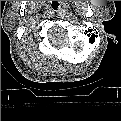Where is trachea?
I'll return each instance as SVG.
<instances>
[{
	"instance_id": "3493384b",
	"label": "trachea",
	"mask_w": 121,
	"mask_h": 121,
	"mask_svg": "<svg viewBox=\"0 0 121 121\" xmlns=\"http://www.w3.org/2000/svg\"><path fill=\"white\" fill-rule=\"evenodd\" d=\"M61 8V4L58 1H52L51 9L57 11Z\"/></svg>"
}]
</instances>
